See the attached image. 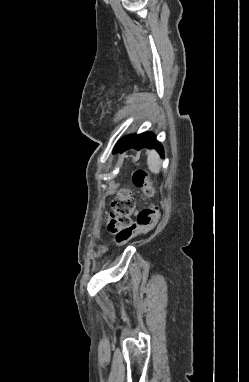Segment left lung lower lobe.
Returning <instances> with one entry per match:
<instances>
[{"label": "left lung lower lobe", "mask_w": 249, "mask_h": 382, "mask_svg": "<svg viewBox=\"0 0 249 382\" xmlns=\"http://www.w3.org/2000/svg\"><path fill=\"white\" fill-rule=\"evenodd\" d=\"M129 148H134L137 150H140L142 148H148V149H156L161 156L163 157V148L156 140V137L152 133H142L139 135H129L121 140L116 144V147L114 149L113 153L116 152H123Z\"/></svg>", "instance_id": "1"}]
</instances>
